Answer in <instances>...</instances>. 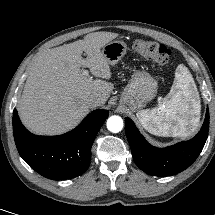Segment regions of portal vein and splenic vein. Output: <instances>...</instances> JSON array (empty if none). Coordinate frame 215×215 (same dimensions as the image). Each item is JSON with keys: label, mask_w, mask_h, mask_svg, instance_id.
Returning a JSON list of instances; mask_svg holds the SVG:
<instances>
[{"label": "portal vein and splenic vein", "mask_w": 215, "mask_h": 215, "mask_svg": "<svg viewBox=\"0 0 215 215\" xmlns=\"http://www.w3.org/2000/svg\"><path fill=\"white\" fill-rule=\"evenodd\" d=\"M82 74L85 75V76H88L89 72H88V70L85 69V70L82 71Z\"/></svg>", "instance_id": "obj_1"}]
</instances>
